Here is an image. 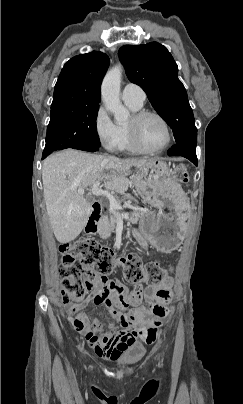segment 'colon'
Here are the masks:
<instances>
[{
  "label": "colon",
  "mask_w": 243,
  "mask_h": 404,
  "mask_svg": "<svg viewBox=\"0 0 243 404\" xmlns=\"http://www.w3.org/2000/svg\"><path fill=\"white\" fill-rule=\"evenodd\" d=\"M175 177L182 183L188 182L186 171L179 167ZM62 254V297L65 303L79 301L93 286L116 269H121L126 280L132 283L161 284L167 271L157 262L143 263L139 256L130 254L115 258L113 252L93 239H81L73 244L59 246ZM142 294L134 291L123 305L135 306L141 301Z\"/></svg>",
  "instance_id": "5ec220e1"
}]
</instances>
